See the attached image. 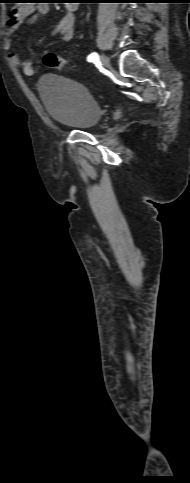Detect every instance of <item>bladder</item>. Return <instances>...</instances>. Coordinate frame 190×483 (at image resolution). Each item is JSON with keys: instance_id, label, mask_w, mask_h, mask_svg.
<instances>
[{"instance_id": "31cf9c89", "label": "bladder", "mask_w": 190, "mask_h": 483, "mask_svg": "<svg viewBox=\"0 0 190 483\" xmlns=\"http://www.w3.org/2000/svg\"><path fill=\"white\" fill-rule=\"evenodd\" d=\"M37 90L48 115L56 123L79 131L93 129L99 124L101 108L82 84L48 74L40 79Z\"/></svg>"}]
</instances>
